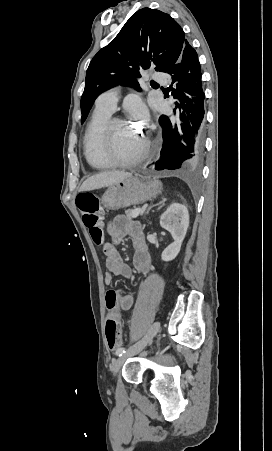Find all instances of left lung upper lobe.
Instances as JSON below:
<instances>
[{"label": "left lung upper lobe", "mask_w": 272, "mask_h": 451, "mask_svg": "<svg viewBox=\"0 0 272 451\" xmlns=\"http://www.w3.org/2000/svg\"><path fill=\"white\" fill-rule=\"evenodd\" d=\"M186 42L182 28L169 14L151 8L134 13L90 62L81 97V122L107 89L122 84L140 91V71L151 66L166 73L179 60Z\"/></svg>", "instance_id": "obj_1"}]
</instances>
